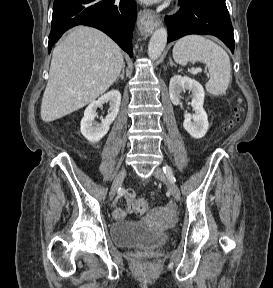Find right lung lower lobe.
Instances as JSON below:
<instances>
[{"label": "right lung lower lobe", "mask_w": 273, "mask_h": 288, "mask_svg": "<svg viewBox=\"0 0 273 288\" xmlns=\"http://www.w3.org/2000/svg\"><path fill=\"white\" fill-rule=\"evenodd\" d=\"M136 14L135 0H54L48 52L69 28L87 25L106 33L132 57Z\"/></svg>", "instance_id": "1"}]
</instances>
